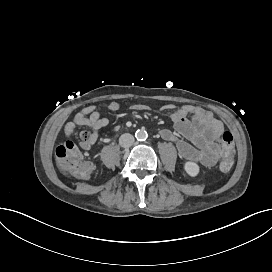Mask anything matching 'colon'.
<instances>
[{"label":"colon","mask_w":272,"mask_h":272,"mask_svg":"<svg viewBox=\"0 0 272 272\" xmlns=\"http://www.w3.org/2000/svg\"><path fill=\"white\" fill-rule=\"evenodd\" d=\"M55 154L59 166L65 167L67 171L82 175L90 173L91 166L82 161V156L79 150L76 149L71 131L66 133L65 141L56 147ZM212 156L220 158L219 168L221 171L228 172L232 168L235 158V144L231 132H224L221 135L220 146Z\"/></svg>","instance_id":"colon-1"}]
</instances>
